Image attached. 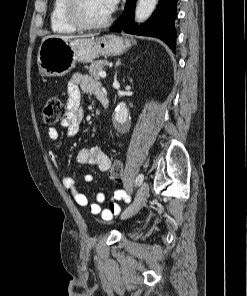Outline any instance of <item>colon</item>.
I'll return each instance as SVG.
<instances>
[{"label":"colon","instance_id":"1","mask_svg":"<svg viewBox=\"0 0 247 296\" xmlns=\"http://www.w3.org/2000/svg\"><path fill=\"white\" fill-rule=\"evenodd\" d=\"M66 115V107L61 99L57 96H50L46 100L43 107V119L48 124L57 123ZM124 167L119 159H115L109 170V175L115 182H120L123 179Z\"/></svg>","mask_w":247,"mask_h":296}]
</instances>
